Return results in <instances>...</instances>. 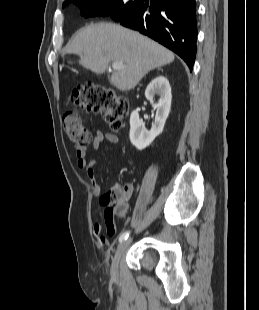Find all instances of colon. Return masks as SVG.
I'll use <instances>...</instances> for the list:
<instances>
[{
    "label": "colon",
    "instance_id": "1",
    "mask_svg": "<svg viewBox=\"0 0 259 310\" xmlns=\"http://www.w3.org/2000/svg\"><path fill=\"white\" fill-rule=\"evenodd\" d=\"M72 106L63 116L64 130L68 138L77 146H85L91 141L79 110L87 114H99L113 131L122 127V118L127 113L128 101L113 89L99 84H83L73 89L70 97ZM128 200L125 187H113L100 198L105 211H121Z\"/></svg>",
    "mask_w": 259,
    "mask_h": 310
}]
</instances>
